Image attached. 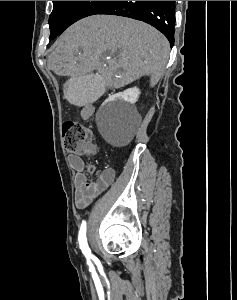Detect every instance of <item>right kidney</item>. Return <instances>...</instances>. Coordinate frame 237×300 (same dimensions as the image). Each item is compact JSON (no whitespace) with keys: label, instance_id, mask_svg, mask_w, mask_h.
Masks as SVG:
<instances>
[{"label":"right kidney","instance_id":"1","mask_svg":"<svg viewBox=\"0 0 237 300\" xmlns=\"http://www.w3.org/2000/svg\"><path fill=\"white\" fill-rule=\"evenodd\" d=\"M139 95V89H137V87H133V89H127V91H123V93H116L114 97L115 99H124L127 103H136Z\"/></svg>","mask_w":237,"mask_h":300}]
</instances>
